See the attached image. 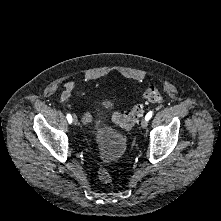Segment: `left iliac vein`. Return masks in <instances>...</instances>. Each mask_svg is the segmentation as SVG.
Masks as SVG:
<instances>
[{"mask_svg": "<svg viewBox=\"0 0 221 221\" xmlns=\"http://www.w3.org/2000/svg\"><path fill=\"white\" fill-rule=\"evenodd\" d=\"M148 126V120H146L145 118L141 121V127L143 129L147 128Z\"/></svg>", "mask_w": 221, "mask_h": 221, "instance_id": "obj_1", "label": "left iliac vein"}]
</instances>
